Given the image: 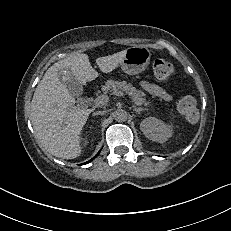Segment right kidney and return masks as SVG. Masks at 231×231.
<instances>
[{
	"label": "right kidney",
	"mask_w": 231,
	"mask_h": 231,
	"mask_svg": "<svg viewBox=\"0 0 231 231\" xmlns=\"http://www.w3.org/2000/svg\"><path fill=\"white\" fill-rule=\"evenodd\" d=\"M87 143H88V141L85 139V140H84V144H87Z\"/></svg>",
	"instance_id": "obj_1"
}]
</instances>
